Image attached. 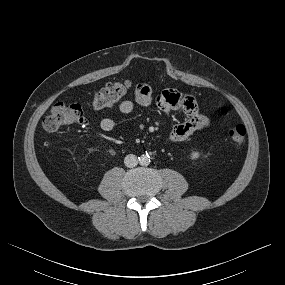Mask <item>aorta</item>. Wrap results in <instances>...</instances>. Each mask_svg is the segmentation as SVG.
I'll return each instance as SVG.
<instances>
[{"label":"aorta","mask_w":285,"mask_h":285,"mask_svg":"<svg viewBox=\"0 0 285 285\" xmlns=\"http://www.w3.org/2000/svg\"><path fill=\"white\" fill-rule=\"evenodd\" d=\"M139 163L142 166H148L150 164V157L147 155H141L139 157Z\"/></svg>","instance_id":"1"}]
</instances>
